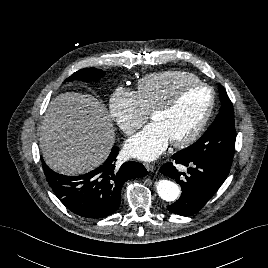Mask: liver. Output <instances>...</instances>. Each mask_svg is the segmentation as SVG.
<instances>
[{
	"mask_svg": "<svg viewBox=\"0 0 268 268\" xmlns=\"http://www.w3.org/2000/svg\"><path fill=\"white\" fill-rule=\"evenodd\" d=\"M114 142L110 115L94 96L67 92L50 102L40 148L52 170L64 175L87 173L106 160Z\"/></svg>",
	"mask_w": 268,
	"mask_h": 268,
	"instance_id": "1",
	"label": "liver"
}]
</instances>
